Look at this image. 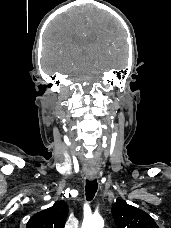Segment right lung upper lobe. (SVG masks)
Masks as SVG:
<instances>
[{
	"label": "right lung upper lobe",
	"mask_w": 171,
	"mask_h": 228,
	"mask_svg": "<svg viewBox=\"0 0 171 228\" xmlns=\"http://www.w3.org/2000/svg\"><path fill=\"white\" fill-rule=\"evenodd\" d=\"M68 215V206L64 201L33 215L26 228H64Z\"/></svg>",
	"instance_id": "cb5924a9"
}]
</instances>
